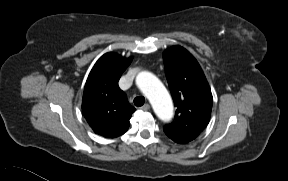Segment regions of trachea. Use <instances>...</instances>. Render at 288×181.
<instances>
[{"label": "trachea", "instance_id": "1", "mask_svg": "<svg viewBox=\"0 0 288 181\" xmlns=\"http://www.w3.org/2000/svg\"><path fill=\"white\" fill-rule=\"evenodd\" d=\"M145 103V98L143 96H137L134 98V104L138 107L142 106Z\"/></svg>", "mask_w": 288, "mask_h": 181}]
</instances>
